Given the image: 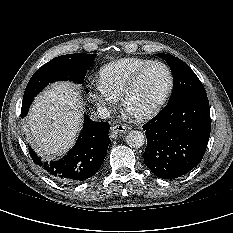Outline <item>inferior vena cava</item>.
<instances>
[{"mask_svg":"<svg viewBox=\"0 0 233 233\" xmlns=\"http://www.w3.org/2000/svg\"><path fill=\"white\" fill-rule=\"evenodd\" d=\"M97 113L101 119H107L111 114V110H109L106 106L99 105L97 108Z\"/></svg>","mask_w":233,"mask_h":233,"instance_id":"inferior-vena-cava-1","label":"inferior vena cava"}]
</instances>
